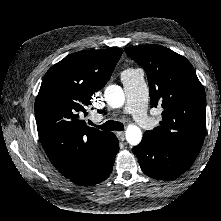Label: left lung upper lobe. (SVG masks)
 I'll return each instance as SVG.
<instances>
[{
	"label": "left lung upper lobe",
	"instance_id": "obj_1",
	"mask_svg": "<svg viewBox=\"0 0 221 221\" xmlns=\"http://www.w3.org/2000/svg\"><path fill=\"white\" fill-rule=\"evenodd\" d=\"M125 51L146 71L152 107L162 109L160 125L146 131L143 139L169 143L198 156L206 132V96L191 63L155 44Z\"/></svg>",
	"mask_w": 221,
	"mask_h": 221
}]
</instances>
